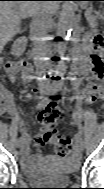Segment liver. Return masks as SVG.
Returning <instances> with one entry per match:
<instances>
[{
  "instance_id": "liver-1",
  "label": "liver",
  "mask_w": 104,
  "mask_h": 189,
  "mask_svg": "<svg viewBox=\"0 0 104 189\" xmlns=\"http://www.w3.org/2000/svg\"><path fill=\"white\" fill-rule=\"evenodd\" d=\"M56 3L40 1H1L0 3V43L4 46L20 30L21 20L32 16L38 10L55 11Z\"/></svg>"
}]
</instances>
